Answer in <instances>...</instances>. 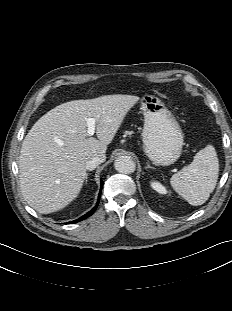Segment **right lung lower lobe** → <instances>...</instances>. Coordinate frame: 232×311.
I'll list each match as a JSON object with an SVG mask.
<instances>
[{
    "label": "right lung lower lobe",
    "mask_w": 232,
    "mask_h": 311,
    "mask_svg": "<svg viewBox=\"0 0 232 311\" xmlns=\"http://www.w3.org/2000/svg\"><path fill=\"white\" fill-rule=\"evenodd\" d=\"M102 187H103V182H102V180H101V189H100L99 196L101 195ZM98 202H99V198H98ZM98 202H97V203H98ZM96 207H97V205L95 206V208H93L92 210H90L88 213H86L85 215H83V216L80 217L79 219L74 220V221L69 222V223H77V222H79V221H82V220L88 218L89 216H91V215L94 213V211L96 210Z\"/></svg>",
    "instance_id": "right-lung-lower-lobe-1"
}]
</instances>
